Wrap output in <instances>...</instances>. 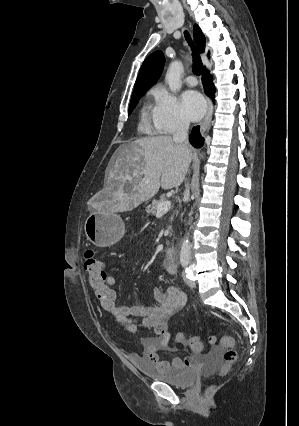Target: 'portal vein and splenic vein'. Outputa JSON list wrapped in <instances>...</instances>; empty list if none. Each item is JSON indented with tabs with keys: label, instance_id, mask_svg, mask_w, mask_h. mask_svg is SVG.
<instances>
[{
	"label": "portal vein and splenic vein",
	"instance_id": "obj_1",
	"mask_svg": "<svg viewBox=\"0 0 299 426\" xmlns=\"http://www.w3.org/2000/svg\"><path fill=\"white\" fill-rule=\"evenodd\" d=\"M170 206H171V202L170 201H166L164 203H160L158 205V208H157V215L166 213L169 210Z\"/></svg>",
	"mask_w": 299,
	"mask_h": 426
}]
</instances>
